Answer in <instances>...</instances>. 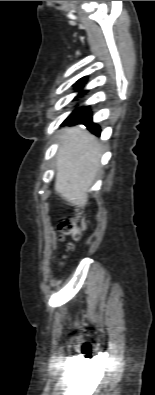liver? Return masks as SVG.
<instances>
[{"mask_svg": "<svg viewBox=\"0 0 155 395\" xmlns=\"http://www.w3.org/2000/svg\"><path fill=\"white\" fill-rule=\"evenodd\" d=\"M56 156L55 191L74 206H84L102 156V145L90 132L65 128Z\"/></svg>", "mask_w": 155, "mask_h": 395, "instance_id": "6515ba94", "label": "liver"}]
</instances>
